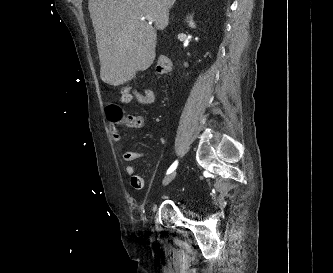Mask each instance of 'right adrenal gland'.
Masks as SVG:
<instances>
[{
  "label": "right adrenal gland",
  "instance_id": "1",
  "mask_svg": "<svg viewBox=\"0 0 333 273\" xmlns=\"http://www.w3.org/2000/svg\"><path fill=\"white\" fill-rule=\"evenodd\" d=\"M175 1H176V0H173V2H172V4H171L170 8L174 5Z\"/></svg>",
  "mask_w": 333,
  "mask_h": 273
}]
</instances>
